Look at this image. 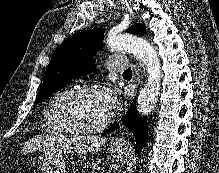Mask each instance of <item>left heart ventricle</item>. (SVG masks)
Instances as JSON below:
<instances>
[{
  "instance_id": "obj_1",
  "label": "left heart ventricle",
  "mask_w": 219,
  "mask_h": 173,
  "mask_svg": "<svg viewBox=\"0 0 219 173\" xmlns=\"http://www.w3.org/2000/svg\"><path fill=\"white\" fill-rule=\"evenodd\" d=\"M71 113L75 122L83 127L96 126L108 116L99 93L87 94L78 98L72 105Z\"/></svg>"
}]
</instances>
